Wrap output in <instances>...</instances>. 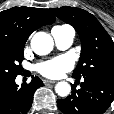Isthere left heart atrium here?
Instances as JSON below:
<instances>
[{
	"label": "left heart atrium",
	"mask_w": 114,
	"mask_h": 114,
	"mask_svg": "<svg viewBox=\"0 0 114 114\" xmlns=\"http://www.w3.org/2000/svg\"><path fill=\"white\" fill-rule=\"evenodd\" d=\"M73 67V62L69 56H59L54 59L39 63L36 70L48 78H59Z\"/></svg>",
	"instance_id": "left-heart-atrium-1"
}]
</instances>
